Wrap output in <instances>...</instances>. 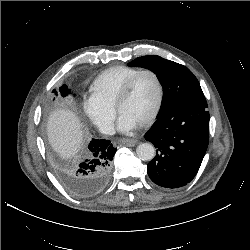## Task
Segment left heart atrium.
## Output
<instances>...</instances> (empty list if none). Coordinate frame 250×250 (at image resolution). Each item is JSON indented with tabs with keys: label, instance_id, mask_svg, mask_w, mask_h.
<instances>
[{
	"label": "left heart atrium",
	"instance_id": "39dd6f15",
	"mask_svg": "<svg viewBox=\"0 0 250 250\" xmlns=\"http://www.w3.org/2000/svg\"><path fill=\"white\" fill-rule=\"evenodd\" d=\"M137 125L129 120L127 117L120 115L118 119L117 127L122 132H129L133 130Z\"/></svg>",
	"mask_w": 250,
	"mask_h": 250
}]
</instances>
